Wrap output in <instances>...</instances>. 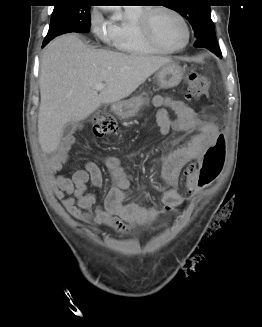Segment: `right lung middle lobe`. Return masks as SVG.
I'll use <instances>...</instances> for the list:
<instances>
[{"label": "right lung middle lobe", "instance_id": "right-lung-middle-lobe-1", "mask_svg": "<svg viewBox=\"0 0 262 327\" xmlns=\"http://www.w3.org/2000/svg\"><path fill=\"white\" fill-rule=\"evenodd\" d=\"M77 0L58 1L54 6L50 27L43 41V46L50 40L64 33H87L90 27V6L78 5Z\"/></svg>", "mask_w": 262, "mask_h": 327}]
</instances>
